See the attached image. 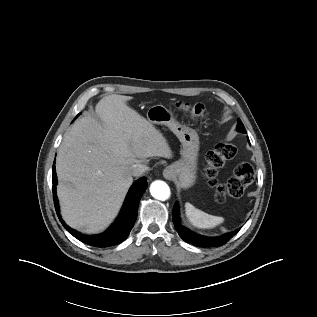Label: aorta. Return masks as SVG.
I'll use <instances>...</instances> for the list:
<instances>
[{"label":"aorta","instance_id":"obj_1","mask_svg":"<svg viewBox=\"0 0 317 317\" xmlns=\"http://www.w3.org/2000/svg\"><path fill=\"white\" fill-rule=\"evenodd\" d=\"M150 193L155 199L165 201L170 197V188L164 181L156 180L150 186Z\"/></svg>","mask_w":317,"mask_h":317}]
</instances>
